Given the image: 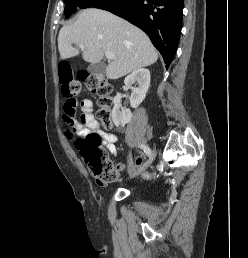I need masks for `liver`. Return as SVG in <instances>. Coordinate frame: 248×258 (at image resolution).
Returning <instances> with one entry per match:
<instances>
[{
    "instance_id": "6515ba94",
    "label": "liver",
    "mask_w": 248,
    "mask_h": 258,
    "mask_svg": "<svg viewBox=\"0 0 248 258\" xmlns=\"http://www.w3.org/2000/svg\"><path fill=\"white\" fill-rule=\"evenodd\" d=\"M81 43L82 58L91 64L100 63L106 52L114 54L105 70L109 79L150 66L158 59L156 49L142 30L101 9H85L73 24L61 28L58 35L61 59L79 55L73 44Z\"/></svg>"
}]
</instances>
